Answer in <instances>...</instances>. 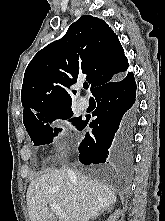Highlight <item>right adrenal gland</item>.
<instances>
[{"label": "right adrenal gland", "mask_w": 165, "mask_h": 221, "mask_svg": "<svg viewBox=\"0 0 165 221\" xmlns=\"http://www.w3.org/2000/svg\"><path fill=\"white\" fill-rule=\"evenodd\" d=\"M105 211L109 212L110 211V208H106ZM100 212H104V210H101ZM99 216V213H97L94 217V218H97Z\"/></svg>", "instance_id": "2a0ac1e0"}]
</instances>
